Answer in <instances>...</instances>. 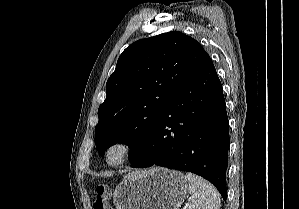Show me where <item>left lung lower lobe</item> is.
Instances as JSON below:
<instances>
[{
  "label": "left lung lower lobe",
  "mask_w": 299,
  "mask_h": 209,
  "mask_svg": "<svg viewBox=\"0 0 299 209\" xmlns=\"http://www.w3.org/2000/svg\"><path fill=\"white\" fill-rule=\"evenodd\" d=\"M229 122L221 82L210 61L167 102L131 167L154 164L198 174L226 201Z\"/></svg>",
  "instance_id": "left-lung-lower-lobe-1"
}]
</instances>
